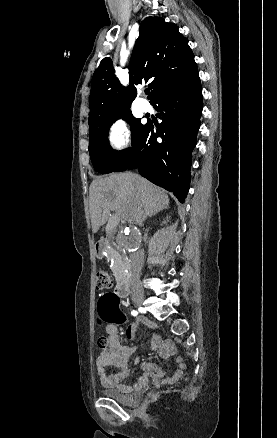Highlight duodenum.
I'll use <instances>...</instances> for the list:
<instances>
[{
    "mask_svg": "<svg viewBox=\"0 0 277 438\" xmlns=\"http://www.w3.org/2000/svg\"><path fill=\"white\" fill-rule=\"evenodd\" d=\"M108 247V242L104 239H100L95 243V253L98 257L103 256L104 252L107 250ZM129 288H130V280H129V275L128 274H123L122 276H120L116 288H115V292L117 295L121 296V297H125L128 295L129 293Z\"/></svg>",
    "mask_w": 277,
    "mask_h": 438,
    "instance_id": "duodenum-1",
    "label": "duodenum"
}]
</instances>
